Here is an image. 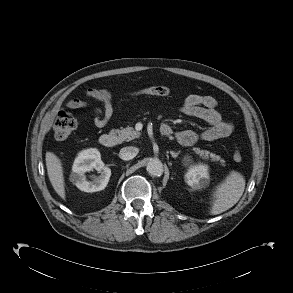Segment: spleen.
Segmentation results:
<instances>
[{"instance_id":"spleen-1","label":"spleen","mask_w":293,"mask_h":293,"mask_svg":"<svg viewBox=\"0 0 293 293\" xmlns=\"http://www.w3.org/2000/svg\"><path fill=\"white\" fill-rule=\"evenodd\" d=\"M245 178L236 171H231L225 180L213 192L214 202L210 213L221 214L233 207L243 195Z\"/></svg>"}]
</instances>
